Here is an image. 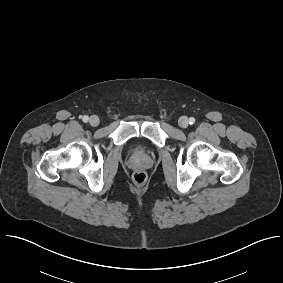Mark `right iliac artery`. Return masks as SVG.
<instances>
[{
	"label": "right iliac artery",
	"mask_w": 283,
	"mask_h": 283,
	"mask_svg": "<svg viewBox=\"0 0 283 283\" xmlns=\"http://www.w3.org/2000/svg\"><path fill=\"white\" fill-rule=\"evenodd\" d=\"M88 119H89V118H88V116H86V115L82 117L83 122H87Z\"/></svg>",
	"instance_id": "right-iliac-artery-1"
}]
</instances>
